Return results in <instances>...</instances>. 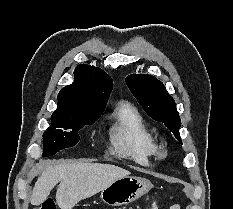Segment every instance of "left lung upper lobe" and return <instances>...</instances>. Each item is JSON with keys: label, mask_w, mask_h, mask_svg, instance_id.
I'll return each mask as SVG.
<instances>
[{"label": "left lung upper lobe", "mask_w": 233, "mask_h": 209, "mask_svg": "<svg viewBox=\"0 0 233 209\" xmlns=\"http://www.w3.org/2000/svg\"><path fill=\"white\" fill-rule=\"evenodd\" d=\"M126 83L139 104L154 120L162 122L181 142L179 128L181 120L174 99L161 81L146 74H131Z\"/></svg>", "instance_id": "1"}]
</instances>
